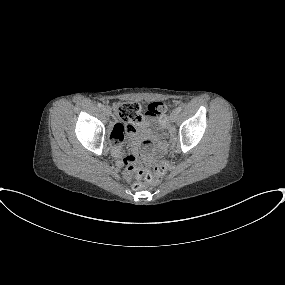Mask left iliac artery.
Segmentation results:
<instances>
[{"instance_id": "44dca946", "label": "left iliac artery", "mask_w": 285, "mask_h": 285, "mask_svg": "<svg viewBox=\"0 0 285 285\" xmlns=\"http://www.w3.org/2000/svg\"><path fill=\"white\" fill-rule=\"evenodd\" d=\"M182 109H183V106H182V105H179V106L176 108V111L181 112Z\"/></svg>"}]
</instances>
